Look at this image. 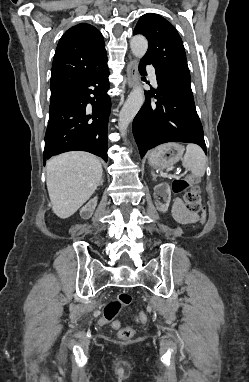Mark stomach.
<instances>
[{"instance_id":"0dacf381","label":"stomach","mask_w":249,"mask_h":382,"mask_svg":"<svg viewBox=\"0 0 249 382\" xmlns=\"http://www.w3.org/2000/svg\"><path fill=\"white\" fill-rule=\"evenodd\" d=\"M184 147L178 143L160 145L149 153V164L157 169H167L182 159Z\"/></svg>"}]
</instances>
